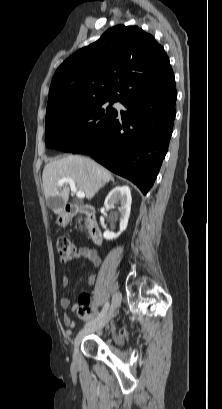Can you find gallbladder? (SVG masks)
<instances>
[{
    "instance_id": "1",
    "label": "gallbladder",
    "mask_w": 222,
    "mask_h": 409,
    "mask_svg": "<svg viewBox=\"0 0 222 409\" xmlns=\"http://www.w3.org/2000/svg\"><path fill=\"white\" fill-rule=\"evenodd\" d=\"M52 201H53V198H49V199L47 200L48 206H51V207H52ZM61 205H63V202H62V201H61Z\"/></svg>"
}]
</instances>
